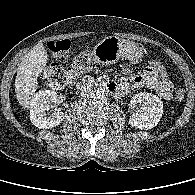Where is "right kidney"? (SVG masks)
<instances>
[{
  "mask_svg": "<svg viewBox=\"0 0 195 195\" xmlns=\"http://www.w3.org/2000/svg\"><path fill=\"white\" fill-rule=\"evenodd\" d=\"M60 96L55 91L41 90L37 92L30 106V120L39 129L53 128L61 123L64 114L56 109L52 114L47 115L50 103H59Z\"/></svg>",
  "mask_w": 195,
  "mask_h": 195,
  "instance_id": "ca27d5eb",
  "label": "right kidney"
}]
</instances>
